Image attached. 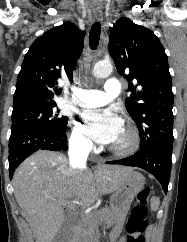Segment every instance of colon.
<instances>
[{
    "instance_id": "obj_1",
    "label": "colon",
    "mask_w": 187,
    "mask_h": 242,
    "mask_svg": "<svg viewBox=\"0 0 187 242\" xmlns=\"http://www.w3.org/2000/svg\"><path fill=\"white\" fill-rule=\"evenodd\" d=\"M150 189L144 187L137 194V205L132 209L126 226V234L120 242H145L144 231L148 226L147 205Z\"/></svg>"
}]
</instances>
